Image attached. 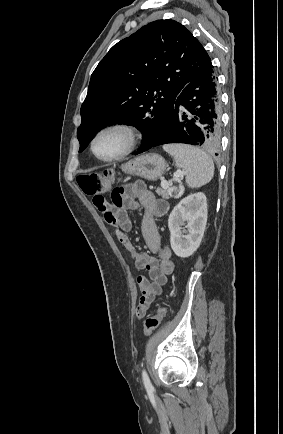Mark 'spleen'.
<instances>
[{"label": "spleen", "mask_w": 283, "mask_h": 434, "mask_svg": "<svg viewBox=\"0 0 283 434\" xmlns=\"http://www.w3.org/2000/svg\"><path fill=\"white\" fill-rule=\"evenodd\" d=\"M163 149L174 157L176 166L185 171L188 186L198 188L213 178V160L201 149L183 144L164 145Z\"/></svg>", "instance_id": "spleen-1"}]
</instances>
